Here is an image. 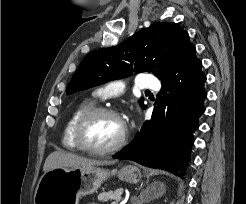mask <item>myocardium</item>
Instances as JSON below:
<instances>
[{"mask_svg": "<svg viewBox=\"0 0 246 204\" xmlns=\"http://www.w3.org/2000/svg\"><path fill=\"white\" fill-rule=\"evenodd\" d=\"M100 115H110L118 119L122 124V134L118 141L107 148H93L88 146L83 138L84 130L86 125L95 117ZM128 128L123 121L120 114L112 108L109 107H93L92 109L85 112L78 120L74 129V140L78 148L84 152L94 154V155H107L120 150L128 140Z\"/></svg>", "mask_w": 246, "mask_h": 204, "instance_id": "1", "label": "myocardium"}]
</instances>
